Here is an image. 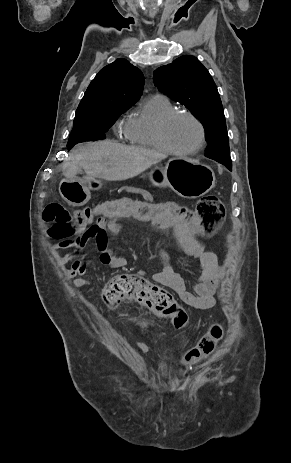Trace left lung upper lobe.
Returning a JSON list of instances; mask_svg holds the SVG:
<instances>
[{
    "mask_svg": "<svg viewBox=\"0 0 291 463\" xmlns=\"http://www.w3.org/2000/svg\"><path fill=\"white\" fill-rule=\"evenodd\" d=\"M155 86L188 108L206 129V156L231 161L221 99L208 70L199 60L184 55L154 71Z\"/></svg>",
    "mask_w": 291,
    "mask_h": 463,
    "instance_id": "1",
    "label": "left lung upper lobe"
}]
</instances>
